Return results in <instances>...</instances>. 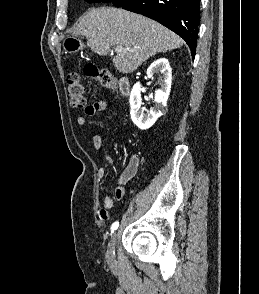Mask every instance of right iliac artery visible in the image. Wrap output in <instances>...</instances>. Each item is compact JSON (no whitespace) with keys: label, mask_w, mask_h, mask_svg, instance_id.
<instances>
[{"label":"right iliac artery","mask_w":259,"mask_h":294,"mask_svg":"<svg viewBox=\"0 0 259 294\" xmlns=\"http://www.w3.org/2000/svg\"><path fill=\"white\" fill-rule=\"evenodd\" d=\"M118 226H119V222L118 221L114 222L111 226V233H113L118 228Z\"/></svg>","instance_id":"right-iliac-artery-1"}]
</instances>
